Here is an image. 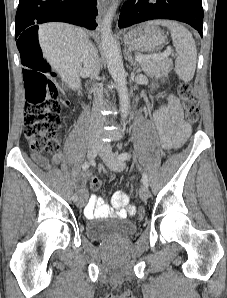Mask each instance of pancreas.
<instances>
[{
	"label": "pancreas",
	"mask_w": 227,
	"mask_h": 298,
	"mask_svg": "<svg viewBox=\"0 0 227 298\" xmlns=\"http://www.w3.org/2000/svg\"><path fill=\"white\" fill-rule=\"evenodd\" d=\"M137 55L144 56L142 54ZM139 65L147 75L160 76L169 73L172 70L173 63L171 59L164 57L158 60L145 59L139 62Z\"/></svg>",
	"instance_id": "pancreas-1"
}]
</instances>
